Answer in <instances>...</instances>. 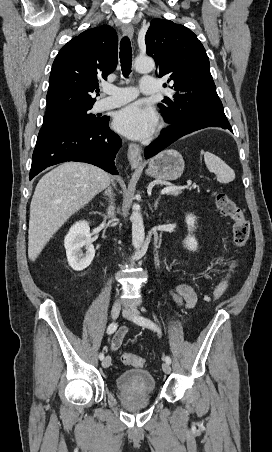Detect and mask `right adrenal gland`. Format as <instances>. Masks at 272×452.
<instances>
[{"mask_svg": "<svg viewBox=\"0 0 272 452\" xmlns=\"http://www.w3.org/2000/svg\"><path fill=\"white\" fill-rule=\"evenodd\" d=\"M102 206H105V204L103 202H100Z\"/></svg>", "mask_w": 272, "mask_h": 452, "instance_id": "obj_1", "label": "right adrenal gland"}]
</instances>
